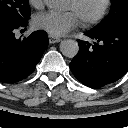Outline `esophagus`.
Returning a JSON list of instances; mask_svg holds the SVG:
<instances>
[{
    "mask_svg": "<svg viewBox=\"0 0 128 128\" xmlns=\"http://www.w3.org/2000/svg\"><path fill=\"white\" fill-rule=\"evenodd\" d=\"M48 38H49V43H50V44L58 43V42L61 41L60 38L54 37V36H52V35H49Z\"/></svg>",
    "mask_w": 128,
    "mask_h": 128,
    "instance_id": "34e87169",
    "label": "esophagus"
}]
</instances>
